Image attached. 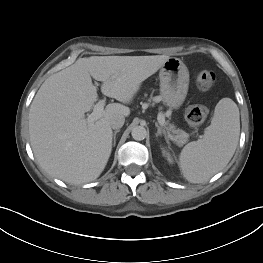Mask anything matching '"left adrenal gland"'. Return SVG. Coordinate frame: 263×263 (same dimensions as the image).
I'll return each instance as SVG.
<instances>
[{"label":"left adrenal gland","instance_id":"a2214340","mask_svg":"<svg viewBox=\"0 0 263 263\" xmlns=\"http://www.w3.org/2000/svg\"><path fill=\"white\" fill-rule=\"evenodd\" d=\"M155 126L157 127L156 137L164 135L165 139H167L166 132L159 126V124L155 123Z\"/></svg>","mask_w":263,"mask_h":263}]
</instances>
